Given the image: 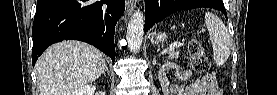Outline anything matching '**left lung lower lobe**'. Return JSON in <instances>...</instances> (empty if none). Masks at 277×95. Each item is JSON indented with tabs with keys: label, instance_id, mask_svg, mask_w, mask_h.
<instances>
[{
	"label": "left lung lower lobe",
	"instance_id": "left-lung-lower-lobe-1",
	"mask_svg": "<svg viewBox=\"0 0 277 95\" xmlns=\"http://www.w3.org/2000/svg\"><path fill=\"white\" fill-rule=\"evenodd\" d=\"M180 0H145V32L166 16L180 10L191 8L179 6ZM197 8H213L226 15L222 0H197ZM227 18V16H226Z\"/></svg>",
	"mask_w": 277,
	"mask_h": 95
}]
</instances>
